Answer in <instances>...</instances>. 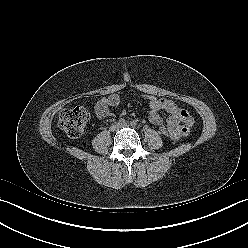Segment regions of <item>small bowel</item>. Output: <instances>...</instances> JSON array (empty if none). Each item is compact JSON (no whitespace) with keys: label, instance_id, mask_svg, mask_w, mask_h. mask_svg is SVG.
Segmentation results:
<instances>
[{"label":"small bowel","instance_id":"1","mask_svg":"<svg viewBox=\"0 0 248 248\" xmlns=\"http://www.w3.org/2000/svg\"><path fill=\"white\" fill-rule=\"evenodd\" d=\"M122 99L119 93H112L108 96L99 99L95 105V113L98 119H104L110 115V108L117 106ZM149 102L150 112L149 121L155 126L163 125V118L159 114L160 111H166L169 116L166 121L167 127L174 135V139H180L189 134L190 127L193 125L194 120L191 114L177 104L167 98H157L152 95L144 96Z\"/></svg>","mask_w":248,"mask_h":248}]
</instances>
